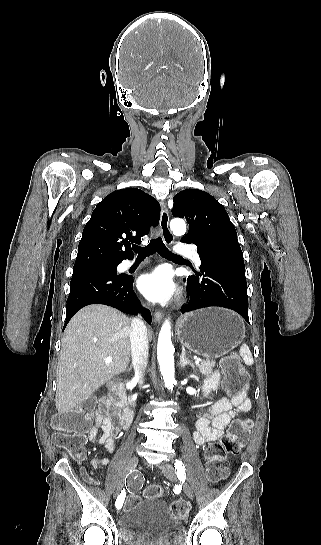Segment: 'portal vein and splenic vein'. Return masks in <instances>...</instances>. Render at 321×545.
I'll return each instance as SVG.
<instances>
[{
  "instance_id": "1",
  "label": "portal vein and splenic vein",
  "mask_w": 321,
  "mask_h": 545,
  "mask_svg": "<svg viewBox=\"0 0 321 545\" xmlns=\"http://www.w3.org/2000/svg\"><path fill=\"white\" fill-rule=\"evenodd\" d=\"M194 356V359H196V361H202V358H197V355H193ZM105 363H112V357H106V359H104Z\"/></svg>"
}]
</instances>
